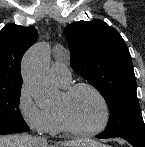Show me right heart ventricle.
I'll return each mask as SVG.
<instances>
[{"mask_svg":"<svg viewBox=\"0 0 145 147\" xmlns=\"http://www.w3.org/2000/svg\"><path fill=\"white\" fill-rule=\"evenodd\" d=\"M61 85L63 87L67 86V84H65V85L61 84ZM47 110L49 112L50 119H51V129H50V131L54 134L63 132L64 130H63V128H62V126H61V124L58 120L55 108H48Z\"/></svg>","mask_w":145,"mask_h":147,"instance_id":"1","label":"right heart ventricle"}]
</instances>
